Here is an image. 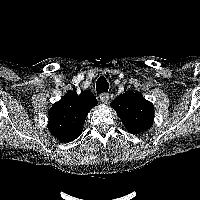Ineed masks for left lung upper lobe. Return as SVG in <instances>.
<instances>
[{
  "label": "left lung upper lobe",
  "mask_w": 200,
  "mask_h": 200,
  "mask_svg": "<svg viewBox=\"0 0 200 200\" xmlns=\"http://www.w3.org/2000/svg\"><path fill=\"white\" fill-rule=\"evenodd\" d=\"M111 106L131 133L146 131L153 124L154 106L139 92L127 91L118 96Z\"/></svg>",
  "instance_id": "obj_1"
}]
</instances>
